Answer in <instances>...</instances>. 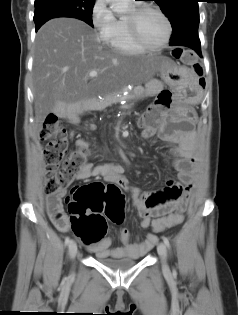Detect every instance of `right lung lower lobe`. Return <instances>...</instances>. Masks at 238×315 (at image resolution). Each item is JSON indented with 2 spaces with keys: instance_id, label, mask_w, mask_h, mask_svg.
Masks as SVG:
<instances>
[{
  "instance_id": "98d812e1",
  "label": "right lung lower lobe",
  "mask_w": 238,
  "mask_h": 315,
  "mask_svg": "<svg viewBox=\"0 0 238 315\" xmlns=\"http://www.w3.org/2000/svg\"><path fill=\"white\" fill-rule=\"evenodd\" d=\"M46 21H48V19L42 20V21L36 23V24H35V25H36V31H37Z\"/></svg>"
}]
</instances>
